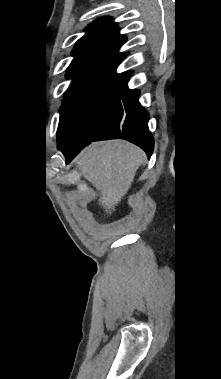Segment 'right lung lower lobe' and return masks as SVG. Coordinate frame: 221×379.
Instances as JSON below:
<instances>
[{"label":"right lung lower lobe","instance_id":"right-lung-lower-lobe-1","mask_svg":"<svg viewBox=\"0 0 221 379\" xmlns=\"http://www.w3.org/2000/svg\"><path fill=\"white\" fill-rule=\"evenodd\" d=\"M127 78L122 83V97L111 118L101 131L93 138L83 142H63L58 139V148L63 152L66 164L92 141L106 139H126L139 147L151 157L154 139L148 129L149 114L138 102L139 91L127 88Z\"/></svg>","mask_w":221,"mask_h":379}]
</instances>
